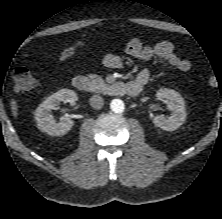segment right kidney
<instances>
[{
	"label": "right kidney",
	"mask_w": 222,
	"mask_h": 219,
	"mask_svg": "<svg viewBox=\"0 0 222 219\" xmlns=\"http://www.w3.org/2000/svg\"><path fill=\"white\" fill-rule=\"evenodd\" d=\"M77 100V94L70 89H61L47 97L35 111L38 129L51 136L65 135L74 126V121L68 116H63L59 121H56L51 111L57 109L60 102H70L73 104Z\"/></svg>",
	"instance_id": "right-kidney-1"
}]
</instances>
